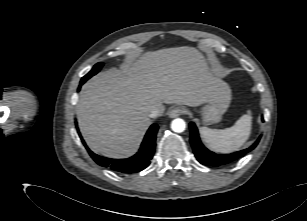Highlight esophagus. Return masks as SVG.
I'll use <instances>...</instances> for the list:
<instances>
[{"label": "esophagus", "instance_id": "1", "mask_svg": "<svg viewBox=\"0 0 307 221\" xmlns=\"http://www.w3.org/2000/svg\"><path fill=\"white\" fill-rule=\"evenodd\" d=\"M185 113V109L183 107H175L168 111V116L170 118H176Z\"/></svg>", "mask_w": 307, "mask_h": 221}]
</instances>
